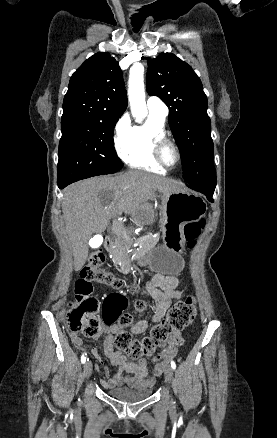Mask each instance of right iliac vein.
<instances>
[{
	"label": "right iliac vein",
	"instance_id": "right-iliac-vein-1",
	"mask_svg": "<svg viewBox=\"0 0 277 438\" xmlns=\"http://www.w3.org/2000/svg\"><path fill=\"white\" fill-rule=\"evenodd\" d=\"M93 366L92 362L87 360V362L84 365V375L86 378H89L92 374Z\"/></svg>",
	"mask_w": 277,
	"mask_h": 438
}]
</instances>
